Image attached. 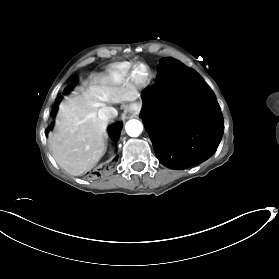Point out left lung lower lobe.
I'll list each match as a JSON object with an SVG mask.
<instances>
[{
  "instance_id": "0a47b994",
  "label": "left lung lower lobe",
  "mask_w": 279,
  "mask_h": 279,
  "mask_svg": "<svg viewBox=\"0 0 279 279\" xmlns=\"http://www.w3.org/2000/svg\"><path fill=\"white\" fill-rule=\"evenodd\" d=\"M143 117L156 157L180 170L211 157L223 135L215 95L200 75L168 57L160 60L154 86L142 93Z\"/></svg>"
}]
</instances>
